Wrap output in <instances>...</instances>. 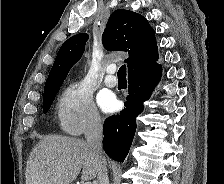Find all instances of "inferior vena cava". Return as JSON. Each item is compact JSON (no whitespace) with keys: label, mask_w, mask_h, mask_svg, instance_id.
I'll return each mask as SVG.
<instances>
[{"label":"inferior vena cava","mask_w":224,"mask_h":184,"mask_svg":"<svg viewBox=\"0 0 224 184\" xmlns=\"http://www.w3.org/2000/svg\"><path fill=\"white\" fill-rule=\"evenodd\" d=\"M102 123L98 116H93L86 127L85 138L93 153L100 159L97 184H109L106 161L102 150Z\"/></svg>","instance_id":"602c4592"}]
</instances>
